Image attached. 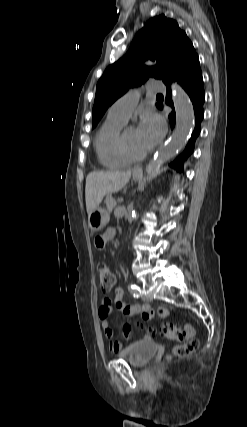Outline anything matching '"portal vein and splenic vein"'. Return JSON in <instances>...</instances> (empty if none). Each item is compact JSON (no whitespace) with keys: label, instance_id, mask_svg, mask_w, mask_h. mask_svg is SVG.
Instances as JSON below:
<instances>
[{"label":"portal vein and splenic vein","instance_id":"portal-vein-and-splenic-vein-1","mask_svg":"<svg viewBox=\"0 0 247 427\" xmlns=\"http://www.w3.org/2000/svg\"><path fill=\"white\" fill-rule=\"evenodd\" d=\"M123 200L124 199L122 197L117 199L118 202H123Z\"/></svg>","mask_w":247,"mask_h":427}]
</instances>
